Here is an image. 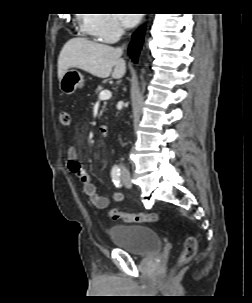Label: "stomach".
Wrapping results in <instances>:
<instances>
[{"mask_svg":"<svg viewBox=\"0 0 252 303\" xmlns=\"http://www.w3.org/2000/svg\"><path fill=\"white\" fill-rule=\"evenodd\" d=\"M83 84V75L78 70L69 69L59 80V89L62 91V93L70 95L74 93L77 88H82Z\"/></svg>","mask_w":252,"mask_h":303,"instance_id":"0dacf381","label":"stomach"}]
</instances>
